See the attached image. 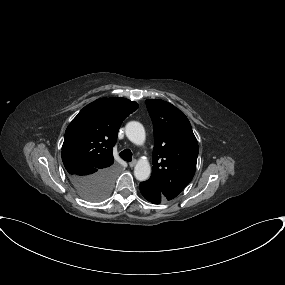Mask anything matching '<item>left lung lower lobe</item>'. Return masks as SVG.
<instances>
[{
    "label": "left lung lower lobe",
    "instance_id": "1",
    "mask_svg": "<svg viewBox=\"0 0 285 285\" xmlns=\"http://www.w3.org/2000/svg\"><path fill=\"white\" fill-rule=\"evenodd\" d=\"M140 191L143 197L153 204H160L162 201L169 200L159 187L149 180L140 183Z\"/></svg>",
    "mask_w": 285,
    "mask_h": 285
}]
</instances>
